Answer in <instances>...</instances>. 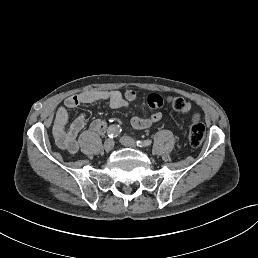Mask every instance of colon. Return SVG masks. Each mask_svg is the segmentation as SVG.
I'll list each match as a JSON object with an SVG mask.
<instances>
[{
    "instance_id": "colon-1",
    "label": "colon",
    "mask_w": 258,
    "mask_h": 258,
    "mask_svg": "<svg viewBox=\"0 0 258 258\" xmlns=\"http://www.w3.org/2000/svg\"><path fill=\"white\" fill-rule=\"evenodd\" d=\"M168 102L173 107L174 110L178 112H182L185 108L187 103L179 97H169ZM205 138V127L203 124L195 123L193 124L188 133V141L189 143L197 147L202 144L203 140Z\"/></svg>"
}]
</instances>
